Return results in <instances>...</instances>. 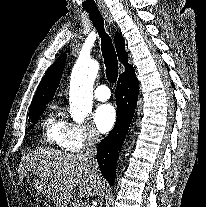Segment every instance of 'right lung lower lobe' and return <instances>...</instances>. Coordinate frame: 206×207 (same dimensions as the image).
I'll return each mask as SVG.
<instances>
[{
    "label": "right lung lower lobe",
    "mask_w": 206,
    "mask_h": 207,
    "mask_svg": "<svg viewBox=\"0 0 206 207\" xmlns=\"http://www.w3.org/2000/svg\"><path fill=\"white\" fill-rule=\"evenodd\" d=\"M115 97L117 104L116 124L97 148V161L100 170L110 185H113L115 181L119 151L126 138L138 99V81L133 67L120 75Z\"/></svg>",
    "instance_id": "obj_1"
}]
</instances>
